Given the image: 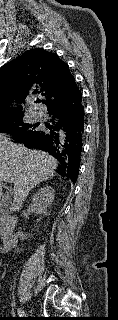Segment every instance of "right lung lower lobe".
Wrapping results in <instances>:
<instances>
[{
  "label": "right lung lower lobe",
  "mask_w": 118,
  "mask_h": 320,
  "mask_svg": "<svg viewBox=\"0 0 118 320\" xmlns=\"http://www.w3.org/2000/svg\"><path fill=\"white\" fill-rule=\"evenodd\" d=\"M51 116L48 129L38 128L33 134L18 140L28 148L48 152L59 162L57 173L77 181L84 137V107L81 91L54 100L47 105Z\"/></svg>",
  "instance_id": "right-lung-lower-lobe-1"
}]
</instances>
